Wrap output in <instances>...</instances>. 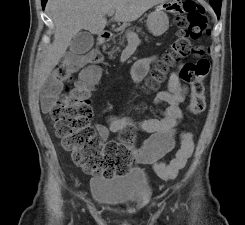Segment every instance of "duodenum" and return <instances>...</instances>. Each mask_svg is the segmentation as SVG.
<instances>
[{
	"label": "duodenum",
	"mask_w": 245,
	"mask_h": 225,
	"mask_svg": "<svg viewBox=\"0 0 245 225\" xmlns=\"http://www.w3.org/2000/svg\"><path fill=\"white\" fill-rule=\"evenodd\" d=\"M97 38L100 45H105L110 41L111 33L109 31H102L98 34Z\"/></svg>",
	"instance_id": "410a0bca"
}]
</instances>
